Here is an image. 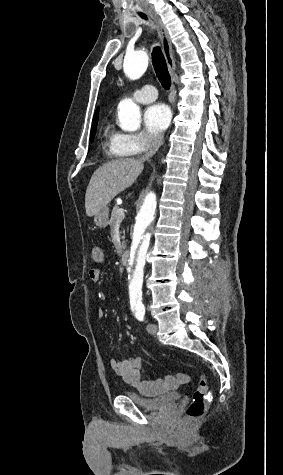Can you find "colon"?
I'll return each instance as SVG.
<instances>
[{
    "label": "colon",
    "mask_w": 283,
    "mask_h": 475,
    "mask_svg": "<svg viewBox=\"0 0 283 475\" xmlns=\"http://www.w3.org/2000/svg\"><path fill=\"white\" fill-rule=\"evenodd\" d=\"M91 259L100 264L106 259V252L100 246H94L91 250ZM208 381L204 375H199L197 384L192 394V399L186 410L187 420H198L203 417L208 405Z\"/></svg>",
    "instance_id": "colon-1"
}]
</instances>
